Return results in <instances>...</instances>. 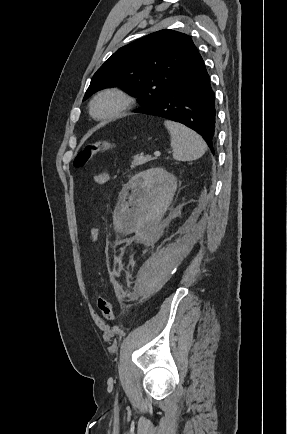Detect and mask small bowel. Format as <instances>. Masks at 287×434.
<instances>
[{
  "label": "small bowel",
  "mask_w": 287,
  "mask_h": 434,
  "mask_svg": "<svg viewBox=\"0 0 287 434\" xmlns=\"http://www.w3.org/2000/svg\"><path fill=\"white\" fill-rule=\"evenodd\" d=\"M108 179H109V177H108L107 173H100L94 177L95 182L100 184V185L105 184L108 181ZM91 237H92L93 241L97 240V238H98V230L97 229L94 228L91 230Z\"/></svg>",
  "instance_id": "obj_1"
}]
</instances>
